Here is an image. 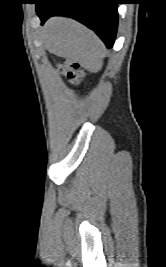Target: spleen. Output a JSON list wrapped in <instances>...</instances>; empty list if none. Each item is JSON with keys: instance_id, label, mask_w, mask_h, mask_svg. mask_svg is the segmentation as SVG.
Returning a JSON list of instances; mask_svg holds the SVG:
<instances>
[{"instance_id": "obj_1", "label": "spleen", "mask_w": 166, "mask_h": 267, "mask_svg": "<svg viewBox=\"0 0 166 267\" xmlns=\"http://www.w3.org/2000/svg\"><path fill=\"white\" fill-rule=\"evenodd\" d=\"M44 40L48 48L59 56L77 61L90 72L102 68L104 45L83 25L67 18H55L45 27Z\"/></svg>"}]
</instances>
